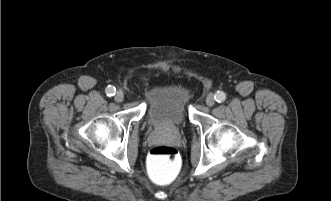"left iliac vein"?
<instances>
[{
	"label": "left iliac vein",
	"instance_id": "4c4485c4",
	"mask_svg": "<svg viewBox=\"0 0 331 201\" xmlns=\"http://www.w3.org/2000/svg\"><path fill=\"white\" fill-rule=\"evenodd\" d=\"M215 103V98L214 95L212 93L208 94L207 98H206V104L209 107H212Z\"/></svg>",
	"mask_w": 331,
	"mask_h": 201
}]
</instances>
